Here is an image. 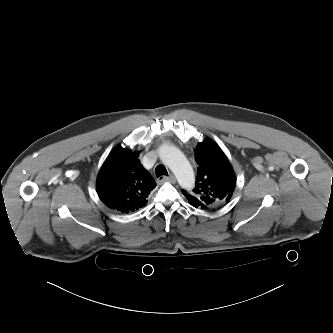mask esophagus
Returning a JSON list of instances; mask_svg holds the SVG:
<instances>
[{"label":"esophagus","instance_id":"obj_1","mask_svg":"<svg viewBox=\"0 0 333 333\" xmlns=\"http://www.w3.org/2000/svg\"><path fill=\"white\" fill-rule=\"evenodd\" d=\"M176 181V178L171 175V176H160L157 180L158 184H162L163 182H171L174 183Z\"/></svg>","mask_w":333,"mask_h":333}]
</instances>
